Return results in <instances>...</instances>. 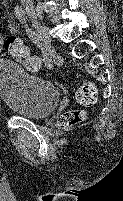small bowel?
<instances>
[{
	"mask_svg": "<svg viewBox=\"0 0 123 201\" xmlns=\"http://www.w3.org/2000/svg\"><path fill=\"white\" fill-rule=\"evenodd\" d=\"M7 29H8L9 33L15 34L17 32V25L15 23H13V22H9L7 24ZM3 51H4V47H3V35H2V33H0V57L3 56ZM38 61H39V59H38ZM39 64H40V61H39Z\"/></svg>",
	"mask_w": 123,
	"mask_h": 201,
	"instance_id": "c3829d8e",
	"label": "small bowel"
}]
</instances>
